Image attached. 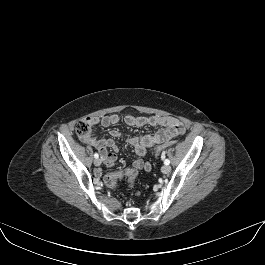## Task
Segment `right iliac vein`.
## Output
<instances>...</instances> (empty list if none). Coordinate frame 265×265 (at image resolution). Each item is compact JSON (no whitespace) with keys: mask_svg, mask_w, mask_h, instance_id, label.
Returning a JSON list of instances; mask_svg holds the SVG:
<instances>
[{"mask_svg":"<svg viewBox=\"0 0 265 265\" xmlns=\"http://www.w3.org/2000/svg\"><path fill=\"white\" fill-rule=\"evenodd\" d=\"M95 166H100L101 165V160L99 158L94 160Z\"/></svg>","mask_w":265,"mask_h":265,"instance_id":"right-iliac-vein-1","label":"right iliac vein"}]
</instances>
